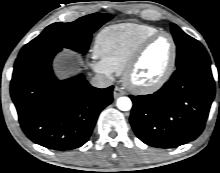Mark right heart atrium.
<instances>
[{"label": "right heart atrium", "mask_w": 220, "mask_h": 173, "mask_svg": "<svg viewBox=\"0 0 220 173\" xmlns=\"http://www.w3.org/2000/svg\"><path fill=\"white\" fill-rule=\"evenodd\" d=\"M92 68L106 77H112L113 71L109 69L102 61H94L92 62Z\"/></svg>", "instance_id": "obj_1"}]
</instances>
